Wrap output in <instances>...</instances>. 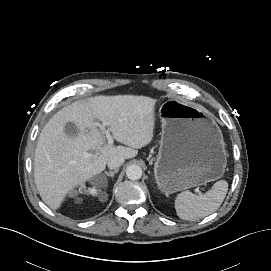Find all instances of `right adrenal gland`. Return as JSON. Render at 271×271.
<instances>
[{"label": "right adrenal gland", "instance_id": "right-adrenal-gland-1", "mask_svg": "<svg viewBox=\"0 0 271 271\" xmlns=\"http://www.w3.org/2000/svg\"><path fill=\"white\" fill-rule=\"evenodd\" d=\"M118 171H119V169H115L113 171L105 172V175L114 178V174L118 173Z\"/></svg>", "mask_w": 271, "mask_h": 271}]
</instances>
